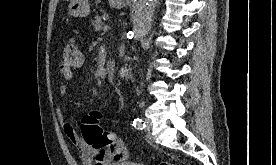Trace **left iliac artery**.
I'll use <instances>...</instances> for the list:
<instances>
[{
  "label": "left iliac artery",
  "mask_w": 276,
  "mask_h": 165,
  "mask_svg": "<svg viewBox=\"0 0 276 165\" xmlns=\"http://www.w3.org/2000/svg\"><path fill=\"white\" fill-rule=\"evenodd\" d=\"M133 126L136 129L142 130V129L145 128V123H144V121L142 119L136 118V119H134Z\"/></svg>",
  "instance_id": "left-iliac-artery-1"
}]
</instances>
